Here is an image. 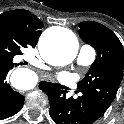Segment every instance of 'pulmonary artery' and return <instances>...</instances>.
<instances>
[{
	"label": "pulmonary artery",
	"mask_w": 124,
	"mask_h": 124,
	"mask_svg": "<svg viewBox=\"0 0 124 124\" xmlns=\"http://www.w3.org/2000/svg\"><path fill=\"white\" fill-rule=\"evenodd\" d=\"M96 58V51L90 45H82L77 55V63L82 66H88L94 62ZM26 60L32 65H40L35 59L26 57Z\"/></svg>",
	"instance_id": "obj_1"
}]
</instances>
